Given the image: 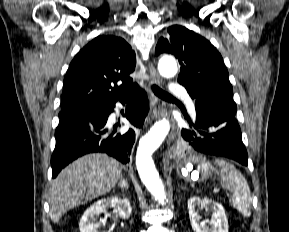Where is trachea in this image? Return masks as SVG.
Instances as JSON below:
<instances>
[{"mask_svg":"<svg viewBox=\"0 0 289 232\" xmlns=\"http://www.w3.org/2000/svg\"><path fill=\"white\" fill-rule=\"evenodd\" d=\"M152 90H153L154 94L157 95L160 98H173L172 95H170L169 93L163 91L162 89H160L156 85H152Z\"/></svg>","mask_w":289,"mask_h":232,"instance_id":"obj_1","label":"trachea"}]
</instances>
